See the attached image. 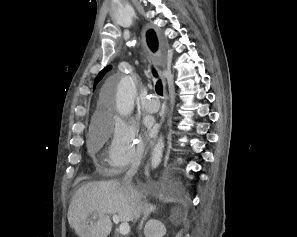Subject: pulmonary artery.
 I'll use <instances>...</instances> for the list:
<instances>
[{
	"label": "pulmonary artery",
	"instance_id": "e3ab8cb5",
	"mask_svg": "<svg viewBox=\"0 0 297 237\" xmlns=\"http://www.w3.org/2000/svg\"><path fill=\"white\" fill-rule=\"evenodd\" d=\"M143 106L147 112L154 113L159 109V102L154 98L153 95H148L143 101Z\"/></svg>",
	"mask_w": 297,
	"mask_h": 237
}]
</instances>
